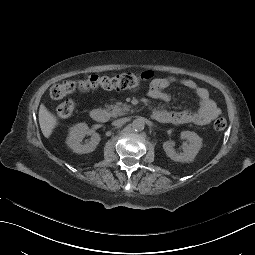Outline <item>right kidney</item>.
<instances>
[{"instance_id":"obj_1","label":"right kidney","mask_w":255,"mask_h":255,"mask_svg":"<svg viewBox=\"0 0 255 255\" xmlns=\"http://www.w3.org/2000/svg\"><path fill=\"white\" fill-rule=\"evenodd\" d=\"M85 135H91V140L86 144H81ZM100 142V136L95 131L88 128L86 123H78L70 128L69 136L67 137V145L75 153H90L95 150Z\"/></svg>"}]
</instances>
